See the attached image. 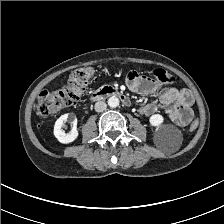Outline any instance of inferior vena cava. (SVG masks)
Here are the masks:
<instances>
[{"instance_id": "602c4592", "label": "inferior vena cava", "mask_w": 224, "mask_h": 224, "mask_svg": "<svg viewBox=\"0 0 224 224\" xmlns=\"http://www.w3.org/2000/svg\"><path fill=\"white\" fill-rule=\"evenodd\" d=\"M107 104L104 101H98L95 103V111L96 112H103L106 110Z\"/></svg>"}]
</instances>
